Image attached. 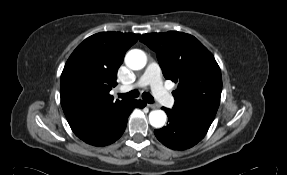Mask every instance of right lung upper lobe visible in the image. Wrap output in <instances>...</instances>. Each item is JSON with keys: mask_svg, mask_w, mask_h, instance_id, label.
<instances>
[{"mask_svg": "<svg viewBox=\"0 0 287 175\" xmlns=\"http://www.w3.org/2000/svg\"><path fill=\"white\" fill-rule=\"evenodd\" d=\"M139 34L101 32L85 39L67 60L60 82L61 105L76 136L82 137L110 120L128 100L109 94L117 70Z\"/></svg>", "mask_w": 287, "mask_h": 175, "instance_id": "1", "label": "right lung upper lobe"}]
</instances>
